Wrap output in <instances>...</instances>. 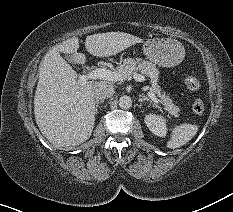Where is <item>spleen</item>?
I'll return each instance as SVG.
<instances>
[{
	"label": "spleen",
	"instance_id": "spleen-1",
	"mask_svg": "<svg viewBox=\"0 0 233 212\" xmlns=\"http://www.w3.org/2000/svg\"><path fill=\"white\" fill-rule=\"evenodd\" d=\"M197 131V125L186 123L174 128L172 137L167 142V147L170 149H175L185 145L196 135Z\"/></svg>",
	"mask_w": 233,
	"mask_h": 212
}]
</instances>
